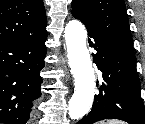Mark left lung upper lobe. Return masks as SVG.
<instances>
[{
	"label": "left lung upper lobe",
	"mask_w": 145,
	"mask_h": 124,
	"mask_svg": "<svg viewBox=\"0 0 145 124\" xmlns=\"http://www.w3.org/2000/svg\"><path fill=\"white\" fill-rule=\"evenodd\" d=\"M72 15L87 30L134 54L123 0H73Z\"/></svg>",
	"instance_id": "5c2ea615"
}]
</instances>
